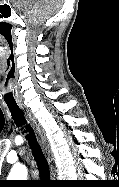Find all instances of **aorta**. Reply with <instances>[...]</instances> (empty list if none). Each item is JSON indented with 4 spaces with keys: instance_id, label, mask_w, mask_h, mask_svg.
Segmentation results:
<instances>
[{
    "instance_id": "aorta-1",
    "label": "aorta",
    "mask_w": 119,
    "mask_h": 187,
    "mask_svg": "<svg viewBox=\"0 0 119 187\" xmlns=\"http://www.w3.org/2000/svg\"><path fill=\"white\" fill-rule=\"evenodd\" d=\"M27 174L28 171L24 165L16 164L12 167L8 178L12 180H26Z\"/></svg>"
}]
</instances>
